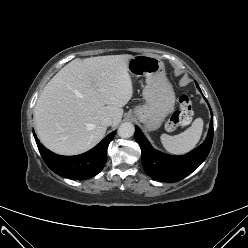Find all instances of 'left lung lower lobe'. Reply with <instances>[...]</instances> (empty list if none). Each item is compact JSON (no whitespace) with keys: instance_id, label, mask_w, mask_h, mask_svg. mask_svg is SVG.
Masks as SVG:
<instances>
[{"instance_id":"left-lung-lower-lobe-1","label":"left lung lower lobe","mask_w":248,"mask_h":248,"mask_svg":"<svg viewBox=\"0 0 248 248\" xmlns=\"http://www.w3.org/2000/svg\"><path fill=\"white\" fill-rule=\"evenodd\" d=\"M196 85L200 90L197 83ZM135 140L141 148L143 167L150 177L164 182L179 181L197 169L210 152L213 141L212 111L206 140L186 155L172 156L155 150L137 126L135 128Z\"/></svg>"}]
</instances>
